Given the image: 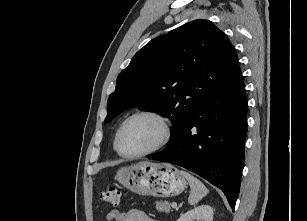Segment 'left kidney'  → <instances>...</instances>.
Here are the masks:
<instances>
[{"label":"left kidney","mask_w":307,"mask_h":221,"mask_svg":"<svg viewBox=\"0 0 307 221\" xmlns=\"http://www.w3.org/2000/svg\"><path fill=\"white\" fill-rule=\"evenodd\" d=\"M177 221H213V209L209 205H201L182 214Z\"/></svg>","instance_id":"left-kidney-1"}]
</instances>
